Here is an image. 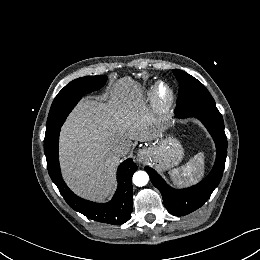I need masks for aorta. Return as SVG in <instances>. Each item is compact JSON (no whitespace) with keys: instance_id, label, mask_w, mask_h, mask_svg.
<instances>
[{"instance_id":"1","label":"aorta","mask_w":260,"mask_h":260,"mask_svg":"<svg viewBox=\"0 0 260 260\" xmlns=\"http://www.w3.org/2000/svg\"><path fill=\"white\" fill-rule=\"evenodd\" d=\"M149 181V176L145 171H137L133 175V183L138 187L145 186Z\"/></svg>"}]
</instances>
